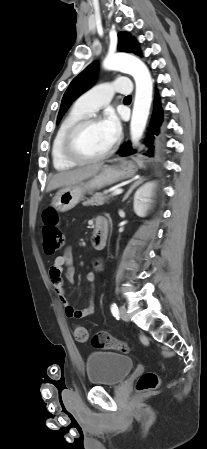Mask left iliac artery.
<instances>
[{
    "instance_id": "44dca946",
    "label": "left iliac artery",
    "mask_w": 207,
    "mask_h": 449,
    "mask_svg": "<svg viewBox=\"0 0 207 449\" xmlns=\"http://www.w3.org/2000/svg\"><path fill=\"white\" fill-rule=\"evenodd\" d=\"M111 313L113 314L114 317H116L117 319L119 318V309L117 307L116 304H112L111 305Z\"/></svg>"
}]
</instances>
